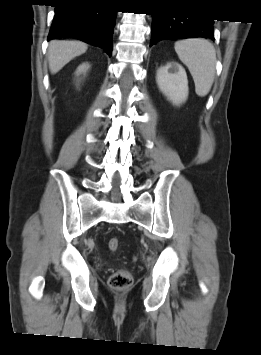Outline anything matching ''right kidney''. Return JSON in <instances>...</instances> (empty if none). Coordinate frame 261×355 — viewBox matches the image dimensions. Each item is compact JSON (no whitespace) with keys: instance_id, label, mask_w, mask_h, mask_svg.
<instances>
[{"instance_id":"obj_1","label":"right kidney","mask_w":261,"mask_h":355,"mask_svg":"<svg viewBox=\"0 0 261 355\" xmlns=\"http://www.w3.org/2000/svg\"><path fill=\"white\" fill-rule=\"evenodd\" d=\"M89 68V64L88 63H83L82 65H80L78 68H77V71H76V75H79L81 73H85Z\"/></svg>"}]
</instances>
